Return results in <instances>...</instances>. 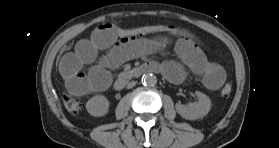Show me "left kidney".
<instances>
[{
    "instance_id": "1",
    "label": "left kidney",
    "mask_w": 279,
    "mask_h": 148,
    "mask_svg": "<svg viewBox=\"0 0 279 148\" xmlns=\"http://www.w3.org/2000/svg\"><path fill=\"white\" fill-rule=\"evenodd\" d=\"M195 94L198 98V102L191 103L188 106L180 103H177L175 105L176 111L182 118H185L187 120H196L199 118H203L210 111V98L200 91H196Z\"/></svg>"
}]
</instances>
